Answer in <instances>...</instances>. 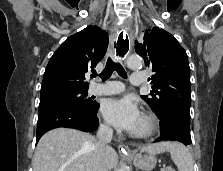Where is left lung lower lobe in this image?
I'll return each instance as SVG.
<instances>
[{
    "label": "left lung lower lobe",
    "mask_w": 223,
    "mask_h": 171,
    "mask_svg": "<svg viewBox=\"0 0 223 171\" xmlns=\"http://www.w3.org/2000/svg\"><path fill=\"white\" fill-rule=\"evenodd\" d=\"M161 135L155 140L179 141L185 145L191 144L190 114L177 108L168 109L160 118Z\"/></svg>",
    "instance_id": "1"
}]
</instances>
